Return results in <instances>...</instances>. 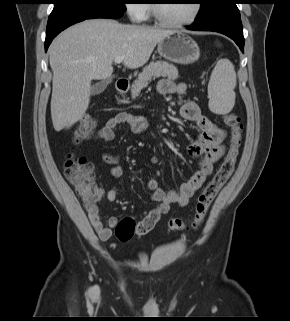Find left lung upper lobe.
I'll return each instance as SVG.
<instances>
[{"instance_id":"5c2ea615","label":"left lung upper lobe","mask_w":290,"mask_h":321,"mask_svg":"<svg viewBox=\"0 0 290 321\" xmlns=\"http://www.w3.org/2000/svg\"><path fill=\"white\" fill-rule=\"evenodd\" d=\"M201 8L197 15L196 21L208 18L228 5L233 0H199Z\"/></svg>"}]
</instances>
